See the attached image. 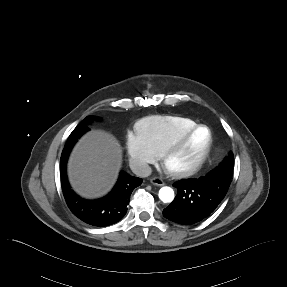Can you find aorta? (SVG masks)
<instances>
[{"mask_svg":"<svg viewBox=\"0 0 287 287\" xmlns=\"http://www.w3.org/2000/svg\"><path fill=\"white\" fill-rule=\"evenodd\" d=\"M159 199L164 203H170L174 200V191L171 187L164 186L159 190Z\"/></svg>","mask_w":287,"mask_h":287,"instance_id":"aorta-1","label":"aorta"}]
</instances>
